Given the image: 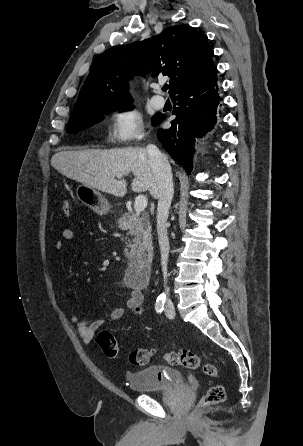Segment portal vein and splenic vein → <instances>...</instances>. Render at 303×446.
<instances>
[{
  "mask_svg": "<svg viewBox=\"0 0 303 446\" xmlns=\"http://www.w3.org/2000/svg\"><path fill=\"white\" fill-rule=\"evenodd\" d=\"M117 178H122V175H117ZM147 207V198L144 195H139L135 199L134 209L137 213L143 212Z\"/></svg>",
  "mask_w": 303,
  "mask_h": 446,
  "instance_id": "18ae733b",
  "label": "portal vein and splenic vein"
}]
</instances>
